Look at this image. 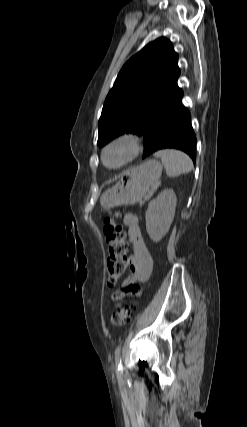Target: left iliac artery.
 <instances>
[{
	"mask_svg": "<svg viewBox=\"0 0 247 427\" xmlns=\"http://www.w3.org/2000/svg\"><path fill=\"white\" fill-rule=\"evenodd\" d=\"M115 364L118 370L122 369L121 345H119L115 351Z\"/></svg>",
	"mask_w": 247,
	"mask_h": 427,
	"instance_id": "1",
	"label": "left iliac artery"
}]
</instances>
